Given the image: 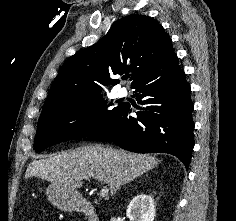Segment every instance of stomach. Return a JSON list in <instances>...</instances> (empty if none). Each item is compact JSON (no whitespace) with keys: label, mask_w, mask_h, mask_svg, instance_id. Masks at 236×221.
Wrapping results in <instances>:
<instances>
[{"label":"stomach","mask_w":236,"mask_h":221,"mask_svg":"<svg viewBox=\"0 0 236 221\" xmlns=\"http://www.w3.org/2000/svg\"><path fill=\"white\" fill-rule=\"evenodd\" d=\"M46 194L49 201L63 211L76 210L81 203L82 197L77 191H69L58 184H50Z\"/></svg>","instance_id":"obj_1"}]
</instances>
